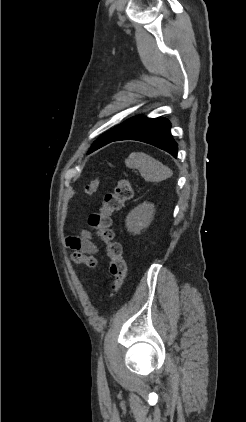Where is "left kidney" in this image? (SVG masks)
I'll return each mask as SVG.
<instances>
[{"instance_id": "left-kidney-1", "label": "left kidney", "mask_w": 246, "mask_h": 422, "mask_svg": "<svg viewBox=\"0 0 246 422\" xmlns=\"http://www.w3.org/2000/svg\"><path fill=\"white\" fill-rule=\"evenodd\" d=\"M154 212V204L146 202L132 209L125 219L128 232L140 234L151 223Z\"/></svg>"}]
</instances>
